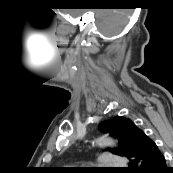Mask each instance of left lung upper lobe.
Returning a JSON list of instances; mask_svg holds the SVG:
<instances>
[{"label": "left lung upper lobe", "mask_w": 173, "mask_h": 173, "mask_svg": "<svg viewBox=\"0 0 173 173\" xmlns=\"http://www.w3.org/2000/svg\"><path fill=\"white\" fill-rule=\"evenodd\" d=\"M99 129L118 139L119 147L112 148L111 151L114 154L127 158L133 153L138 145L139 132L142 131L132 120L122 116H116L100 123Z\"/></svg>", "instance_id": "1"}]
</instances>
